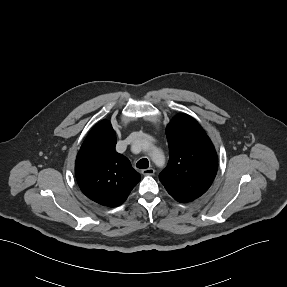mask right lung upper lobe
I'll list each match as a JSON object with an SVG mask.
<instances>
[{
	"label": "right lung upper lobe",
	"mask_w": 287,
	"mask_h": 287,
	"mask_svg": "<svg viewBox=\"0 0 287 287\" xmlns=\"http://www.w3.org/2000/svg\"><path fill=\"white\" fill-rule=\"evenodd\" d=\"M116 134L109 121L90 131L76 158L75 175L81 191L100 205H121L140 181L130 161L115 150Z\"/></svg>",
	"instance_id": "right-lung-upper-lobe-1"
}]
</instances>
